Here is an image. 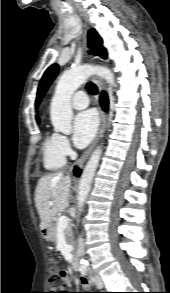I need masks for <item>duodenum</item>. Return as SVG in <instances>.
Returning <instances> with one entry per match:
<instances>
[{"instance_id": "obj_1", "label": "duodenum", "mask_w": 170, "mask_h": 293, "mask_svg": "<svg viewBox=\"0 0 170 293\" xmlns=\"http://www.w3.org/2000/svg\"><path fill=\"white\" fill-rule=\"evenodd\" d=\"M42 234L44 236H47V233H48V230L46 227L42 228L41 230ZM72 266L75 270H78L79 269V259L77 256H74L73 259H72Z\"/></svg>"}]
</instances>
